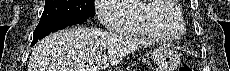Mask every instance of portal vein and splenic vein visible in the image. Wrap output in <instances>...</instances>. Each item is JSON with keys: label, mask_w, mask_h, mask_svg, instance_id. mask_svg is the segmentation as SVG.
Segmentation results:
<instances>
[{"label": "portal vein and splenic vein", "mask_w": 230, "mask_h": 71, "mask_svg": "<svg viewBox=\"0 0 230 71\" xmlns=\"http://www.w3.org/2000/svg\"><path fill=\"white\" fill-rule=\"evenodd\" d=\"M78 71H98L97 68L95 66L93 67H81L78 69Z\"/></svg>", "instance_id": "obj_1"}]
</instances>
